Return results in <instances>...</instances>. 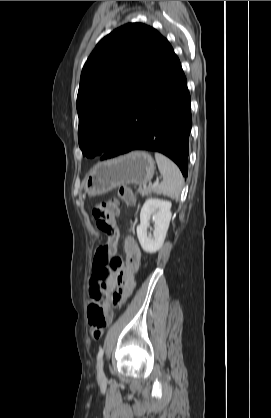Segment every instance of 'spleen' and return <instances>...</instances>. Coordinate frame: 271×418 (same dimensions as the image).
<instances>
[{
    "instance_id": "spleen-1",
    "label": "spleen",
    "mask_w": 271,
    "mask_h": 418,
    "mask_svg": "<svg viewBox=\"0 0 271 418\" xmlns=\"http://www.w3.org/2000/svg\"><path fill=\"white\" fill-rule=\"evenodd\" d=\"M155 159L163 176V181L157 186V191L172 199H178L184 184L181 171L174 162L160 153H155Z\"/></svg>"
}]
</instances>
